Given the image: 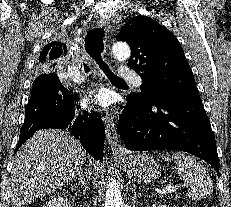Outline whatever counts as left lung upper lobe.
Returning a JSON list of instances; mask_svg holds the SVG:
<instances>
[{
  "label": "left lung upper lobe",
  "instance_id": "left-lung-upper-lobe-1",
  "mask_svg": "<svg viewBox=\"0 0 231 207\" xmlns=\"http://www.w3.org/2000/svg\"><path fill=\"white\" fill-rule=\"evenodd\" d=\"M116 39L131 47L128 64L143 80L141 93L128 99L151 103L199 96L183 48L167 28L150 17L138 16L121 28Z\"/></svg>",
  "mask_w": 231,
  "mask_h": 207
}]
</instances>
